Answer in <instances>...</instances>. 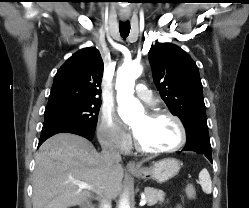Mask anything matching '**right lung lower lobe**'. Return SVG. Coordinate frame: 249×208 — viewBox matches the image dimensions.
Segmentation results:
<instances>
[{
	"label": "right lung lower lobe",
	"mask_w": 249,
	"mask_h": 208,
	"mask_svg": "<svg viewBox=\"0 0 249 208\" xmlns=\"http://www.w3.org/2000/svg\"><path fill=\"white\" fill-rule=\"evenodd\" d=\"M57 133H73L91 140L93 138L94 131L86 130L82 127L68 124V123H61L56 121H48L44 122L41 137L39 140L38 147L49 137L53 136Z\"/></svg>",
	"instance_id": "obj_1"
}]
</instances>
